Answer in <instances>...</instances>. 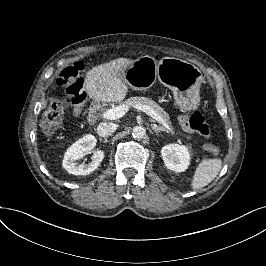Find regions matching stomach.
Returning <instances> with one entry per match:
<instances>
[{
    "instance_id": "0dacf381",
    "label": "stomach",
    "mask_w": 266,
    "mask_h": 266,
    "mask_svg": "<svg viewBox=\"0 0 266 266\" xmlns=\"http://www.w3.org/2000/svg\"><path fill=\"white\" fill-rule=\"evenodd\" d=\"M128 76L127 84L137 90L149 88L158 77L172 91L174 107L178 112L191 113L200 108L203 74L189 62L164 58L156 66L150 57L140 56L129 67Z\"/></svg>"
}]
</instances>
